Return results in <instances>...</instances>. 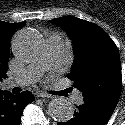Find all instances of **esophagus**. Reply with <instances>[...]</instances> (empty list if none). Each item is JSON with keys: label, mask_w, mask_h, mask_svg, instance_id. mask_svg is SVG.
<instances>
[{"label": "esophagus", "mask_w": 125, "mask_h": 125, "mask_svg": "<svg viewBox=\"0 0 125 125\" xmlns=\"http://www.w3.org/2000/svg\"><path fill=\"white\" fill-rule=\"evenodd\" d=\"M36 96L38 98H52L53 97L51 94H48L46 92H38L36 93Z\"/></svg>", "instance_id": "34e87169"}]
</instances>
